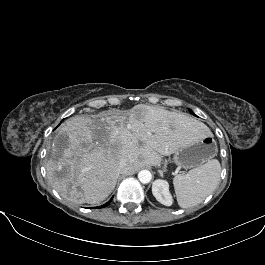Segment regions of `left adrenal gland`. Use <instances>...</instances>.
Here are the masks:
<instances>
[{
    "mask_svg": "<svg viewBox=\"0 0 265 265\" xmlns=\"http://www.w3.org/2000/svg\"><path fill=\"white\" fill-rule=\"evenodd\" d=\"M158 172H159L160 176L163 177V172H164V171L159 170Z\"/></svg>",
    "mask_w": 265,
    "mask_h": 265,
    "instance_id": "obj_1",
    "label": "left adrenal gland"
}]
</instances>
